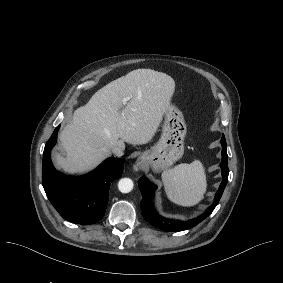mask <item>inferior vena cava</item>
I'll list each match as a JSON object with an SVG mask.
<instances>
[{
	"instance_id": "obj_1",
	"label": "inferior vena cava",
	"mask_w": 283,
	"mask_h": 283,
	"mask_svg": "<svg viewBox=\"0 0 283 283\" xmlns=\"http://www.w3.org/2000/svg\"><path fill=\"white\" fill-rule=\"evenodd\" d=\"M112 153H113L116 157H122L123 154H124V150H122V149L119 148V147H115V148H113Z\"/></svg>"
}]
</instances>
